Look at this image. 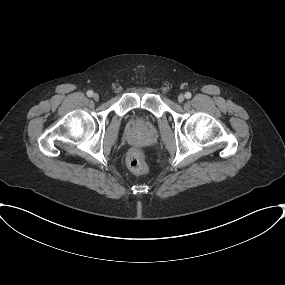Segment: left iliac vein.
Returning a JSON list of instances; mask_svg holds the SVG:
<instances>
[{"mask_svg":"<svg viewBox=\"0 0 285 285\" xmlns=\"http://www.w3.org/2000/svg\"><path fill=\"white\" fill-rule=\"evenodd\" d=\"M184 99H185V96L183 95V94H180L179 96H178V102L179 103H182L183 101H184Z\"/></svg>","mask_w":285,"mask_h":285,"instance_id":"1","label":"left iliac vein"}]
</instances>
